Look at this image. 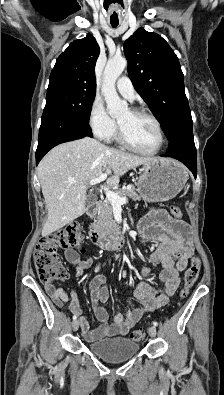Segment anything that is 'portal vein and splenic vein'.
<instances>
[{
	"mask_svg": "<svg viewBox=\"0 0 224 395\" xmlns=\"http://www.w3.org/2000/svg\"><path fill=\"white\" fill-rule=\"evenodd\" d=\"M106 178H107V174L103 173L98 178L92 179L90 181V185H95L97 183H100L104 181ZM70 182L75 183V181H70ZM101 188L105 191L106 198L110 201L112 206L121 207V205L127 203V198L118 196L115 192L109 190V188H107L106 186H101Z\"/></svg>",
	"mask_w": 224,
	"mask_h": 395,
	"instance_id": "1",
	"label": "portal vein and splenic vein"
}]
</instances>
